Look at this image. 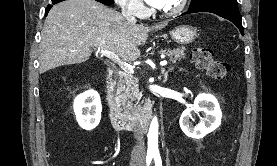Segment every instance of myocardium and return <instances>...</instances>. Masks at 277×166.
<instances>
[{"label":"myocardium","mask_w":277,"mask_h":166,"mask_svg":"<svg viewBox=\"0 0 277 166\" xmlns=\"http://www.w3.org/2000/svg\"><path fill=\"white\" fill-rule=\"evenodd\" d=\"M188 0H179L178 3L169 10H159V14L164 17H172L181 13L186 7Z\"/></svg>","instance_id":"f54148a6"}]
</instances>
